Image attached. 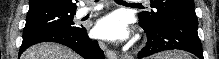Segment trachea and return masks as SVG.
<instances>
[{
  "instance_id": "3493384b",
  "label": "trachea",
  "mask_w": 219,
  "mask_h": 59,
  "mask_svg": "<svg viewBox=\"0 0 219 59\" xmlns=\"http://www.w3.org/2000/svg\"><path fill=\"white\" fill-rule=\"evenodd\" d=\"M95 2H98V0H96ZM116 3H126L125 1L123 0H115ZM134 4H139V3H134Z\"/></svg>"
}]
</instances>
